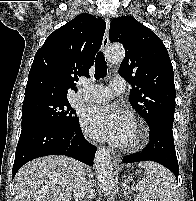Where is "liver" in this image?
<instances>
[{
	"label": "liver",
	"instance_id": "6515ba94",
	"mask_svg": "<svg viewBox=\"0 0 196 201\" xmlns=\"http://www.w3.org/2000/svg\"><path fill=\"white\" fill-rule=\"evenodd\" d=\"M83 165L65 156H44L23 165L14 178V201H71ZM88 170V168H86Z\"/></svg>",
	"mask_w": 196,
	"mask_h": 201
}]
</instances>
